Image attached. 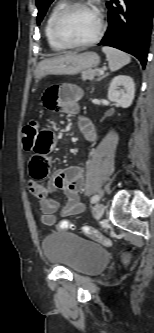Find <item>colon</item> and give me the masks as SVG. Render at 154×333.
<instances>
[{"instance_id": "obj_1", "label": "colon", "mask_w": 154, "mask_h": 333, "mask_svg": "<svg viewBox=\"0 0 154 333\" xmlns=\"http://www.w3.org/2000/svg\"><path fill=\"white\" fill-rule=\"evenodd\" d=\"M40 126L38 121L32 120L27 125L24 126L22 132V143L23 147L26 151L32 150L35 144L36 134L39 130ZM72 228V224L70 221L64 219L59 222L58 229L59 230H66ZM85 234H87L92 239L102 243L103 245H110V240L105 237L102 233L98 230L85 226L83 228Z\"/></svg>"}]
</instances>
